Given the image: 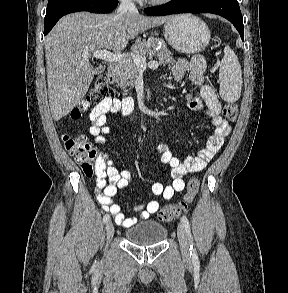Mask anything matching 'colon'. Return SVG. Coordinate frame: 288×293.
Wrapping results in <instances>:
<instances>
[{"mask_svg": "<svg viewBox=\"0 0 288 293\" xmlns=\"http://www.w3.org/2000/svg\"><path fill=\"white\" fill-rule=\"evenodd\" d=\"M113 96V90L108 86L104 79H99L90 95L84 100L78 107L74 108L70 113L72 119H78L82 113L87 110L91 103L100 100H105ZM224 116L234 121L238 115V109L233 104L225 105L223 109ZM63 142L66 150L71 156L75 158L77 163L80 165L84 174L91 177L95 171L94 161L97 158L96 149L89 143L87 138L83 135L63 137ZM200 187V182L197 177H192L187 184L186 193L183 198L174 204L164 206L158 211L157 217L161 222H170L171 220L178 217L182 212L188 210L189 206L194 201Z\"/></svg>", "mask_w": 288, "mask_h": 293, "instance_id": "obj_1", "label": "colon"}]
</instances>
